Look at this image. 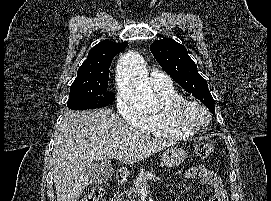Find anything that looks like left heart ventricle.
<instances>
[{
    "label": "left heart ventricle",
    "instance_id": "1",
    "mask_svg": "<svg viewBox=\"0 0 271 201\" xmlns=\"http://www.w3.org/2000/svg\"><path fill=\"white\" fill-rule=\"evenodd\" d=\"M189 114L196 122L203 123L206 119L205 114L196 108H190Z\"/></svg>",
    "mask_w": 271,
    "mask_h": 201
}]
</instances>
